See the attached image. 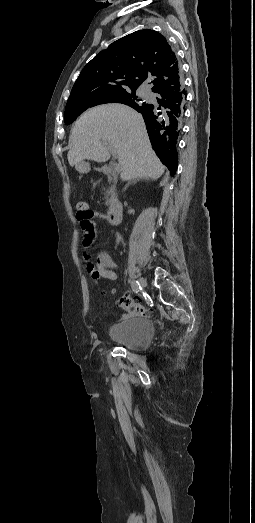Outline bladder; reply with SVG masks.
Instances as JSON below:
<instances>
[{
  "label": "bladder",
  "instance_id": "obj_1",
  "mask_svg": "<svg viewBox=\"0 0 255 523\" xmlns=\"http://www.w3.org/2000/svg\"><path fill=\"white\" fill-rule=\"evenodd\" d=\"M111 328L110 341L130 350L147 346L153 337V323L147 318L129 317Z\"/></svg>",
  "mask_w": 255,
  "mask_h": 523
}]
</instances>
